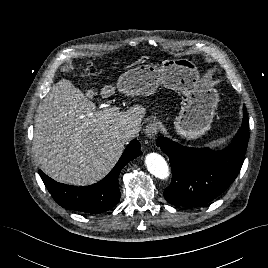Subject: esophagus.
Returning a JSON list of instances; mask_svg holds the SVG:
<instances>
[{"label":"esophagus","mask_w":268,"mask_h":268,"mask_svg":"<svg viewBox=\"0 0 268 268\" xmlns=\"http://www.w3.org/2000/svg\"><path fill=\"white\" fill-rule=\"evenodd\" d=\"M158 129H159V125L157 122L149 123L145 128L146 137L153 138L156 135Z\"/></svg>","instance_id":"obj_1"}]
</instances>
